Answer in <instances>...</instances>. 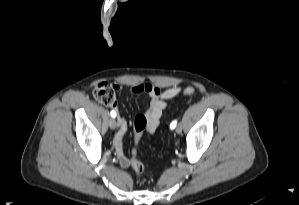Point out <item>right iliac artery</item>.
<instances>
[{
    "mask_svg": "<svg viewBox=\"0 0 299 205\" xmlns=\"http://www.w3.org/2000/svg\"><path fill=\"white\" fill-rule=\"evenodd\" d=\"M110 115L114 118V117H116V112L112 110V111L110 112Z\"/></svg>",
    "mask_w": 299,
    "mask_h": 205,
    "instance_id": "82829eb1",
    "label": "right iliac artery"
}]
</instances>
